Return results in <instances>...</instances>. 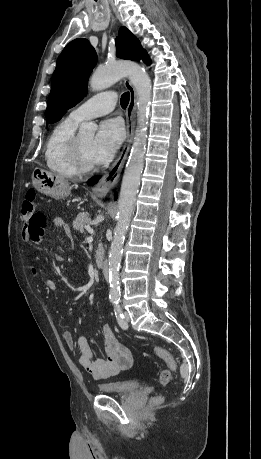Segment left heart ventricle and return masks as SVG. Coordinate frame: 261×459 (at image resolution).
<instances>
[{"mask_svg":"<svg viewBox=\"0 0 261 459\" xmlns=\"http://www.w3.org/2000/svg\"><path fill=\"white\" fill-rule=\"evenodd\" d=\"M79 140L86 160L90 163H94L92 160L93 134L80 135Z\"/></svg>","mask_w":261,"mask_h":459,"instance_id":"obj_1","label":"left heart ventricle"}]
</instances>
